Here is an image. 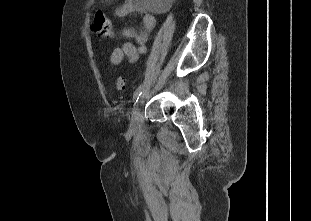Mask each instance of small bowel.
Segmentation results:
<instances>
[{"label": "small bowel", "instance_id": "small-bowel-1", "mask_svg": "<svg viewBox=\"0 0 311 221\" xmlns=\"http://www.w3.org/2000/svg\"><path fill=\"white\" fill-rule=\"evenodd\" d=\"M134 12L143 13V27L141 30H136L132 27H127L123 30V37L133 40L134 43L125 42L113 50L110 56V62L113 65H119L124 58H127L129 63H134L147 51L146 42L150 32L156 25V19L152 14L145 11L141 0H125L116 9L115 17L122 18Z\"/></svg>", "mask_w": 311, "mask_h": 221}]
</instances>
